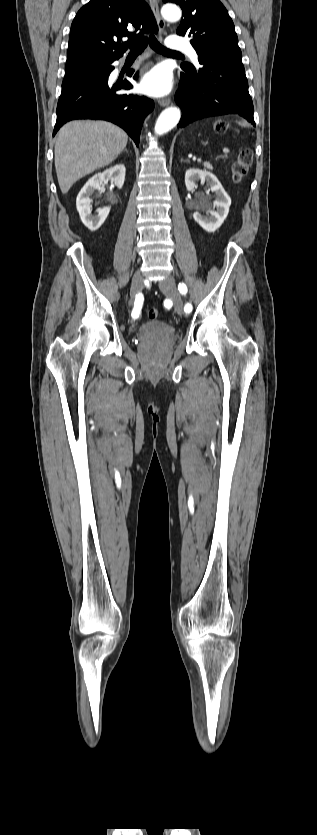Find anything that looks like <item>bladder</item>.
<instances>
[{"instance_id": "1", "label": "bladder", "mask_w": 317, "mask_h": 835, "mask_svg": "<svg viewBox=\"0 0 317 835\" xmlns=\"http://www.w3.org/2000/svg\"><path fill=\"white\" fill-rule=\"evenodd\" d=\"M173 333L174 328L170 324L159 320L147 321L138 329V334L145 339H164Z\"/></svg>"}]
</instances>
